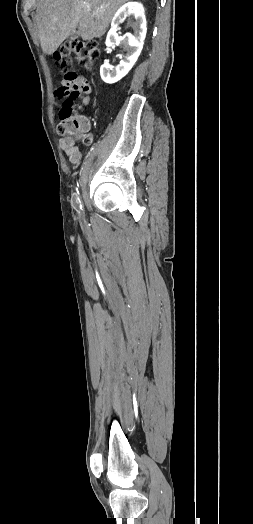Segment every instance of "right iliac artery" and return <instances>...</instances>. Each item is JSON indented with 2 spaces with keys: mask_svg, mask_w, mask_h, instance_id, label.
<instances>
[{
  "mask_svg": "<svg viewBox=\"0 0 253 524\" xmlns=\"http://www.w3.org/2000/svg\"><path fill=\"white\" fill-rule=\"evenodd\" d=\"M73 207L75 208V210L78 212V213H81L82 212V204H81V200L79 198V192L77 191V193L75 194L74 198H73Z\"/></svg>",
  "mask_w": 253,
  "mask_h": 524,
  "instance_id": "1",
  "label": "right iliac artery"
}]
</instances>
